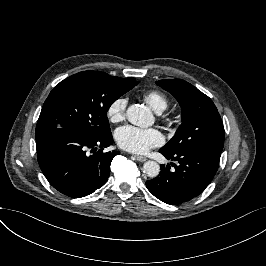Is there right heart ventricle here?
Here are the masks:
<instances>
[{"mask_svg":"<svg viewBox=\"0 0 266 266\" xmlns=\"http://www.w3.org/2000/svg\"><path fill=\"white\" fill-rule=\"evenodd\" d=\"M142 97L156 112H162L169 106V100L167 96L160 90H148L143 94Z\"/></svg>","mask_w":266,"mask_h":266,"instance_id":"e07e8e85","label":"right heart ventricle"}]
</instances>
